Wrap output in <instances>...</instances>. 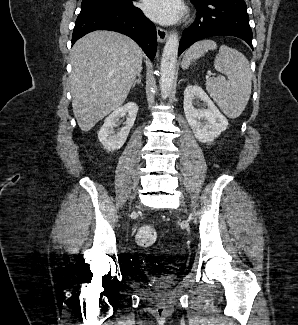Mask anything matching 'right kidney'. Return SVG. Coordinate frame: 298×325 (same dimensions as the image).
Instances as JSON below:
<instances>
[{"label":"right kidney","instance_id":"right-kidney-1","mask_svg":"<svg viewBox=\"0 0 298 325\" xmlns=\"http://www.w3.org/2000/svg\"><path fill=\"white\" fill-rule=\"evenodd\" d=\"M138 112L137 102H127L124 106H119L116 110H113L107 118L104 120L99 132L98 138L103 144L105 150H117L123 146L129 132L132 128L135 118ZM120 116H127L125 126H122L120 130H114V126H117Z\"/></svg>","mask_w":298,"mask_h":325}]
</instances>
